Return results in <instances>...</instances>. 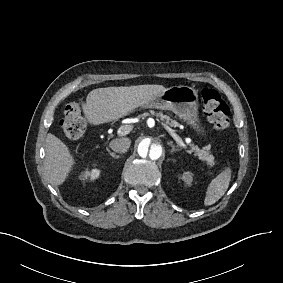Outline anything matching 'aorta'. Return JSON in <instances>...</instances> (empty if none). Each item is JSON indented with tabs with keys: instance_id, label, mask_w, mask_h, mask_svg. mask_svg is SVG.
<instances>
[{
	"instance_id": "1",
	"label": "aorta",
	"mask_w": 283,
	"mask_h": 283,
	"mask_svg": "<svg viewBox=\"0 0 283 283\" xmlns=\"http://www.w3.org/2000/svg\"><path fill=\"white\" fill-rule=\"evenodd\" d=\"M165 141L156 134H147L137 141V154L145 164H155L160 162L165 153Z\"/></svg>"
}]
</instances>
